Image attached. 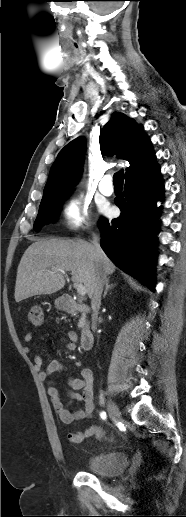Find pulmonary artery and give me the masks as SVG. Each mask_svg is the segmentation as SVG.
Masks as SVG:
<instances>
[{"mask_svg": "<svg viewBox=\"0 0 186 517\" xmlns=\"http://www.w3.org/2000/svg\"><path fill=\"white\" fill-rule=\"evenodd\" d=\"M99 190L105 196H111L113 194L114 188L112 185L111 175L107 174L101 179L99 183Z\"/></svg>", "mask_w": 186, "mask_h": 517, "instance_id": "pulmonary-artery-1", "label": "pulmonary artery"}]
</instances>
